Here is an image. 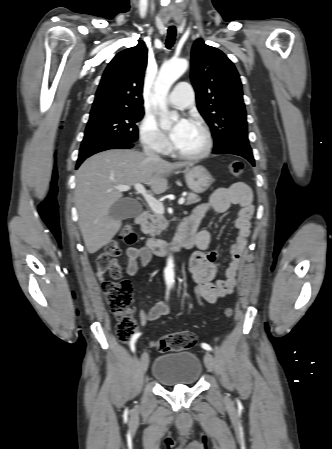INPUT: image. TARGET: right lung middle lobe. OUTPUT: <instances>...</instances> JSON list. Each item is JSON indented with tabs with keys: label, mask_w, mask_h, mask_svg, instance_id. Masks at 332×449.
<instances>
[{
	"label": "right lung middle lobe",
	"mask_w": 332,
	"mask_h": 449,
	"mask_svg": "<svg viewBox=\"0 0 332 449\" xmlns=\"http://www.w3.org/2000/svg\"><path fill=\"white\" fill-rule=\"evenodd\" d=\"M143 109H119L91 113L81 147L102 141H126L138 139L135 125L143 118Z\"/></svg>",
	"instance_id": "right-lung-middle-lobe-1"
}]
</instances>
